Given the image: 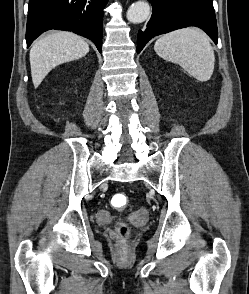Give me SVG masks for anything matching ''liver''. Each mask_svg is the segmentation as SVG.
<instances>
[{"mask_svg": "<svg viewBox=\"0 0 249 294\" xmlns=\"http://www.w3.org/2000/svg\"><path fill=\"white\" fill-rule=\"evenodd\" d=\"M89 45L80 36L57 31L38 39L30 50L32 82L37 88L56 66L84 57Z\"/></svg>", "mask_w": 249, "mask_h": 294, "instance_id": "liver-1", "label": "liver"}]
</instances>
